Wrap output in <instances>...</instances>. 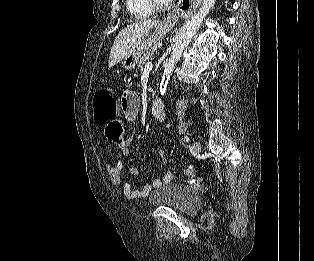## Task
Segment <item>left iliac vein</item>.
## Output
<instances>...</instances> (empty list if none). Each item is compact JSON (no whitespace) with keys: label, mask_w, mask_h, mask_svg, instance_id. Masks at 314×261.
I'll list each match as a JSON object with an SVG mask.
<instances>
[{"label":"left iliac vein","mask_w":314,"mask_h":261,"mask_svg":"<svg viewBox=\"0 0 314 261\" xmlns=\"http://www.w3.org/2000/svg\"><path fill=\"white\" fill-rule=\"evenodd\" d=\"M192 147H193L194 152L196 153H199L201 150V145L198 141H194Z\"/></svg>","instance_id":"left-iliac-vein-1"}]
</instances>
